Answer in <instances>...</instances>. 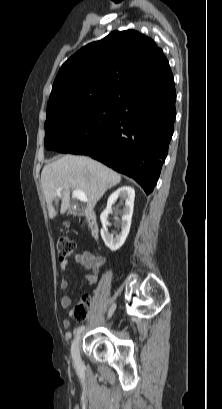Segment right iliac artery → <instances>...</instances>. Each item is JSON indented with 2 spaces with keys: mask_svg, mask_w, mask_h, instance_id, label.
<instances>
[{
  "mask_svg": "<svg viewBox=\"0 0 222 409\" xmlns=\"http://www.w3.org/2000/svg\"><path fill=\"white\" fill-rule=\"evenodd\" d=\"M84 326H80V327H78L77 329H76V334H80L83 330H84Z\"/></svg>",
  "mask_w": 222,
  "mask_h": 409,
  "instance_id": "right-iliac-artery-1",
  "label": "right iliac artery"
}]
</instances>
